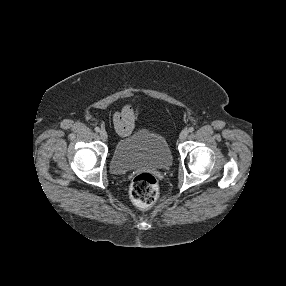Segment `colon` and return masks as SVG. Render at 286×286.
<instances>
[{
    "label": "colon",
    "instance_id": "colon-1",
    "mask_svg": "<svg viewBox=\"0 0 286 286\" xmlns=\"http://www.w3.org/2000/svg\"><path fill=\"white\" fill-rule=\"evenodd\" d=\"M159 194L156 178L150 173H140L134 177L130 185V196L135 204L141 207L152 205Z\"/></svg>",
    "mask_w": 286,
    "mask_h": 286
}]
</instances>
